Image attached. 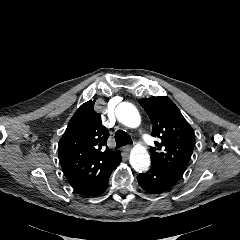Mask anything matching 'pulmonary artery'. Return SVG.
<instances>
[{"instance_id": "e3ab8cb5", "label": "pulmonary artery", "mask_w": 240, "mask_h": 240, "mask_svg": "<svg viewBox=\"0 0 240 240\" xmlns=\"http://www.w3.org/2000/svg\"><path fill=\"white\" fill-rule=\"evenodd\" d=\"M143 140H144L147 144H150V143H151V139H150L149 136L146 135V134L143 135Z\"/></svg>"}]
</instances>
